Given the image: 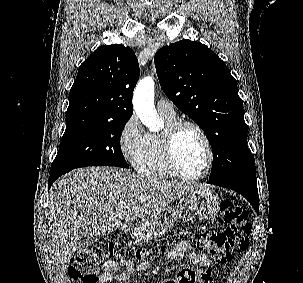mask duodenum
<instances>
[{
  "label": "duodenum",
  "mask_w": 303,
  "mask_h": 283,
  "mask_svg": "<svg viewBox=\"0 0 303 283\" xmlns=\"http://www.w3.org/2000/svg\"><path fill=\"white\" fill-rule=\"evenodd\" d=\"M132 224H131V222H127L126 224H125V227H128V228H132Z\"/></svg>",
  "instance_id": "obj_1"
}]
</instances>
